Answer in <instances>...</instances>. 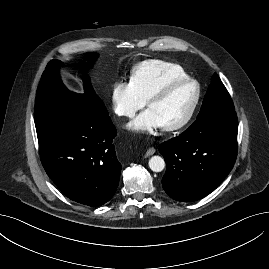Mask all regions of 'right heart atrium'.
<instances>
[{"label": "right heart atrium", "mask_w": 269, "mask_h": 269, "mask_svg": "<svg viewBox=\"0 0 269 269\" xmlns=\"http://www.w3.org/2000/svg\"><path fill=\"white\" fill-rule=\"evenodd\" d=\"M111 104L114 113L121 118H132L142 109L141 99L131 82L117 80L111 89Z\"/></svg>", "instance_id": "obj_1"}]
</instances>
